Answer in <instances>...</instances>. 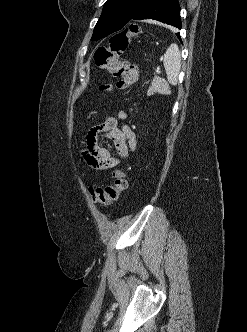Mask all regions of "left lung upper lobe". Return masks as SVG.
<instances>
[{"label":"left lung upper lobe","mask_w":247,"mask_h":332,"mask_svg":"<svg viewBox=\"0 0 247 332\" xmlns=\"http://www.w3.org/2000/svg\"><path fill=\"white\" fill-rule=\"evenodd\" d=\"M147 0H107L94 28L91 40L96 41L125 28Z\"/></svg>","instance_id":"left-lung-upper-lobe-1"}]
</instances>
